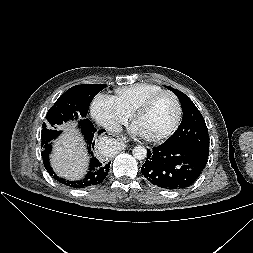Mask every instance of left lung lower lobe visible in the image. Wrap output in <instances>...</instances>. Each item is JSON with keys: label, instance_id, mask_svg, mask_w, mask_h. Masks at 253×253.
I'll list each match as a JSON object with an SVG mask.
<instances>
[{"label": "left lung lower lobe", "instance_id": "1", "mask_svg": "<svg viewBox=\"0 0 253 253\" xmlns=\"http://www.w3.org/2000/svg\"><path fill=\"white\" fill-rule=\"evenodd\" d=\"M147 159L141 167L144 177L164 189H183L192 185L206 166L208 156L187 147L161 144L147 149Z\"/></svg>", "mask_w": 253, "mask_h": 253}]
</instances>
